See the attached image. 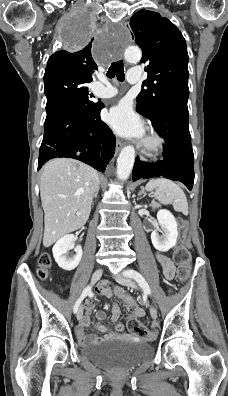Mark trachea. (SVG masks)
Masks as SVG:
<instances>
[{
  "instance_id": "trachea-1",
  "label": "trachea",
  "mask_w": 228,
  "mask_h": 396,
  "mask_svg": "<svg viewBox=\"0 0 228 396\" xmlns=\"http://www.w3.org/2000/svg\"><path fill=\"white\" fill-rule=\"evenodd\" d=\"M115 76L120 82H123L125 79L124 66L122 60L113 62L107 71L108 78H114Z\"/></svg>"
}]
</instances>
